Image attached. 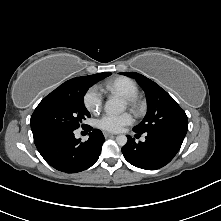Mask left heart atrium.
<instances>
[{
	"label": "left heart atrium",
	"instance_id": "obj_1",
	"mask_svg": "<svg viewBox=\"0 0 221 221\" xmlns=\"http://www.w3.org/2000/svg\"><path fill=\"white\" fill-rule=\"evenodd\" d=\"M133 118L129 113L103 115L97 122L99 128L109 132H119L125 126L130 125Z\"/></svg>",
	"mask_w": 221,
	"mask_h": 221
}]
</instances>
